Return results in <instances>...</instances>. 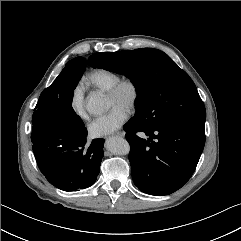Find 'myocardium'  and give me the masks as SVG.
Returning <instances> with one entry per match:
<instances>
[{"instance_id":"1","label":"myocardium","mask_w":241,"mask_h":241,"mask_svg":"<svg viewBox=\"0 0 241 241\" xmlns=\"http://www.w3.org/2000/svg\"><path fill=\"white\" fill-rule=\"evenodd\" d=\"M128 87L131 90V100L127 106V110H134L139 104L141 97V89L139 83L130 77L120 78L108 91L107 94L111 97H117L121 91Z\"/></svg>"}]
</instances>
